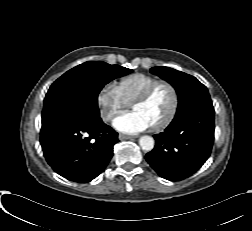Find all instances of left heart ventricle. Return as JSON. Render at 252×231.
I'll return each instance as SVG.
<instances>
[{"label":"left heart ventricle","mask_w":252,"mask_h":231,"mask_svg":"<svg viewBox=\"0 0 252 231\" xmlns=\"http://www.w3.org/2000/svg\"><path fill=\"white\" fill-rule=\"evenodd\" d=\"M171 104V90L167 85L161 84L155 88L147 101L135 104L132 109L141 113L153 126L166 116Z\"/></svg>","instance_id":"1"}]
</instances>
